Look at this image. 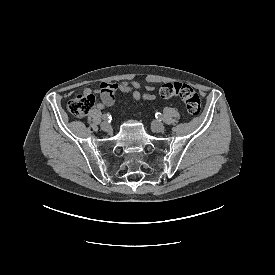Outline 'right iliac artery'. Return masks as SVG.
<instances>
[{
	"mask_svg": "<svg viewBox=\"0 0 275 275\" xmlns=\"http://www.w3.org/2000/svg\"><path fill=\"white\" fill-rule=\"evenodd\" d=\"M102 118L104 119V120H111V115H109V114H104L103 116H102Z\"/></svg>",
	"mask_w": 275,
	"mask_h": 275,
	"instance_id": "right-iliac-artery-1",
	"label": "right iliac artery"
}]
</instances>
